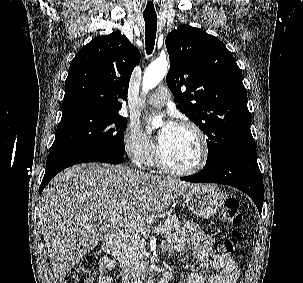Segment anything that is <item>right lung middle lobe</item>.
I'll use <instances>...</instances> for the list:
<instances>
[{
    "instance_id": "dd1d6c3e",
    "label": "right lung middle lobe",
    "mask_w": 303,
    "mask_h": 283,
    "mask_svg": "<svg viewBox=\"0 0 303 283\" xmlns=\"http://www.w3.org/2000/svg\"><path fill=\"white\" fill-rule=\"evenodd\" d=\"M127 119L119 114L79 112L62 116L49 150H93L124 156Z\"/></svg>"
}]
</instances>
